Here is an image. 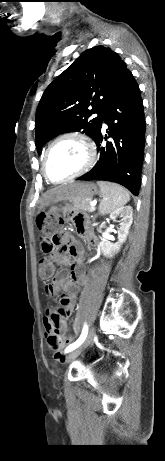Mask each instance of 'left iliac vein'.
<instances>
[{
  "label": "left iliac vein",
  "mask_w": 165,
  "mask_h": 461,
  "mask_svg": "<svg viewBox=\"0 0 165 461\" xmlns=\"http://www.w3.org/2000/svg\"><path fill=\"white\" fill-rule=\"evenodd\" d=\"M95 331H96L95 326H92L89 329V332H88L85 340L83 341V343L77 349L70 352L66 356V360H65L66 362H71L72 360H74L76 357H78L90 345V343L92 342L93 337L95 335Z\"/></svg>",
  "instance_id": "4c4485c4"
}]
</instances>
